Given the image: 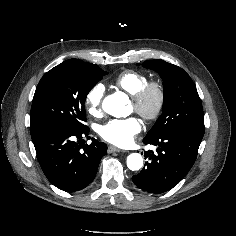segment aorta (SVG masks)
Returning <instances> with one entry per match:
<instances>
[{"mask_svg":"<svg viewBox=\"0 0 236 236\" xmlns=\"http://www.w3.org/2000/svg\"><path fill=\"white\" fill-rule=\"evenodd\" d=\"M128 103V97L122 93H114L107 96L102 104L103 110L111 116L121 117ZM127 166L129 169L136 171L142 168L143 158L139 153H132L127 157Z\"/></svg>","mask_w":236,"mask_h":236,"instance_id":"1","label":"aorta"}]
</instances>
